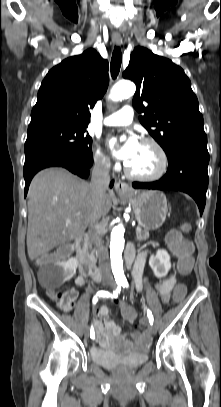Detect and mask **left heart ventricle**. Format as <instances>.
Here are the masks:
<instances>
[{
	"instance_id": "1",
	"label": "left heart ventricle",
	"mask_w": 221,
	"mask_h": 407,
	"mask_svg": "<svg viewBox=\"0 0 221 407\" xmlns=\"http://www.w3.org/2000/svg\"><path fill=\"white\" fill-rule=\"evenodd\" d=\"M132 171L141 175H153L161 167L158 151L151 145L139 143L133 158L128 162Z\"/></svg>"
}]
</instances>
